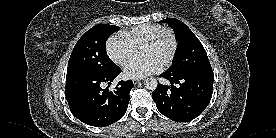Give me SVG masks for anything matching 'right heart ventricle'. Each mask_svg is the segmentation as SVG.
Wrapping results in <instances>:
<instances>
[{"instance_id": "1", "label": "right heart ventricle", "mask_w": 276, "mask_h": 138, "mask_svg": "<svg viewBox=\"0 0 276 138\" xmlns=\"http://www.w3.org/2000/svg\"><path fill=\"white\" fill-rule=\"evenodd\" d=\"M163 27L158 24H144L136 26L129 30H125L121 35L128 40L135 49L140 48L149 40L155 33Z\"/></svg>"}]
</instances>
